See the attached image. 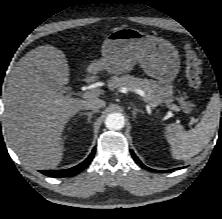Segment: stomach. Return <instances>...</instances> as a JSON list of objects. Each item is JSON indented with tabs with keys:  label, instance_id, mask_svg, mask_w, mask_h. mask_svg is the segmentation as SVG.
<instances>
[{
	"label": "stomach",
	"instance_id": "stomach-1",
	"mask_svg": "<svg viewBox=\"0 0 222 219\" xmlns=\"http://www.w3.org/2000/svg\"><path fill=\"white\" fill-rule=\"evenodd\" d=\"M101 53L102 58L90 63V68L119 75L139 63L147 75L158 80L162 100L172 99V82L179 72L180 58L169 41L134 28H119L107 36Z\"/></svg>",
	"mask_w": 222,
	"mask_h": 219
}]
</instances>
